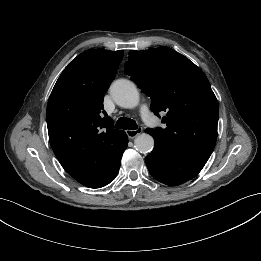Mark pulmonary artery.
Here are the masks:
<instances>
[{
    "label": "pulmonary artery",
    "mask_w": 261,
    "mask_h": 261,
    "mask_svg": "<svg viewBox=\"0 0 261 261\" xmlns=\"http://www.w3.org/2000/svg\"><path fill=\"white\" fill-rule=\"evenodd\" d=\"M140 114L142 119L146 122V123H151L152 121V115L149 111V108L146 104H143L140 108Z\"/></svg>",
    "instance_id": "1"
}]
</instances>
